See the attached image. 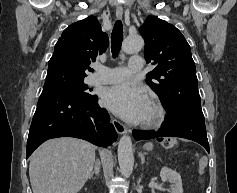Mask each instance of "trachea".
Segmentation results:
<instances>
[{"label": "trachea", "mask_w": 237, "mask_h": 193, "mask_svg": "<svg viewBox=\"0 0 237 193\" xmlns=\"http://www.w3.org/2000/svg\"><path fill=\"white\" fill-rule=\"evenodd\" d=\"M123 41V25L121 21H116L111 34V51L112 55L116 57L120 50Z\"/></svg>", "instance_id": "1"}]
</instances>
